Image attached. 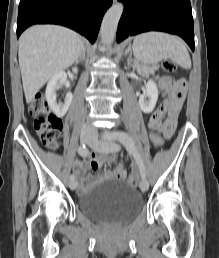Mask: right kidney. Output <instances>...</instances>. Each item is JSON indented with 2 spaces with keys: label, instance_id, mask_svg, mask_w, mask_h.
Listing matches in <instances>:
<instances>
[{
  "label": "right kidney",
  "instance_id": "right-kidney-1",
  "mask_svg": "<svg viewBox=\"0 0 219 258\" xmlns=\"http://www.w3.org/2000/svg\"><path fill=\"white\" fill-rule=\"evenodd\" d=\"M74 73H77L78 69L73 68L72 69ZM67 80V75L65 72L61 71L57 74H55L51 79L49 80L47 87H46V100L50 107V109L54 112V114L57 117H63L67 110L69 109V106L72 102L73 95L71 93H67L65 97L64 105H60L56 101V91L60 88L62 84L65 83Z\"/></svg>",
  "mask_w": 219,
  "mask_h": 258
}]
</instances>
